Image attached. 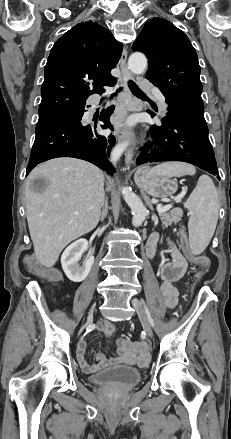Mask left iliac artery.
I'll use <instances>...</instances> for the list:
<instances>
[{
    "mask_svg": "<svg viewBox=\"0 0 231 439\" xmlns=\"http://www.w3.org/2000/svg\"><path fill=\"white\" fill-rule=\"evenodd\" d=\"M142 303L144 304V307H145V313H146V315H147V317H148V320H149L151 326L154 327V321H153V319H152V317H151V314H150V312H149V309L147 308V306L145 305V303H144L143 300H142Z\"/></svg>",
    "mask_w": 231,
    "mask_h": 439,
    "instance_id": "44dca946",
    "label": "left iliac artery"
}]
</instances>
